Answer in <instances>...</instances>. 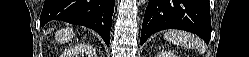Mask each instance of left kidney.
Masks as SVG:
<instances>
[{"label":"left kidney","mask_w":249,"mask_h":57,"mask_svg":"<svg viewBox=\"0 0 249 57\" xmlns=\"http://www.w3.org/2000/svg\"><path fill=\"white\" fill-rule=\"evenodd\" d=\"M157 57H176V55H174V53L170 50H165V51H162L161 53H159L157 55Z\"/></svg>","instance_id":"5707ae66"}]
</instances>
